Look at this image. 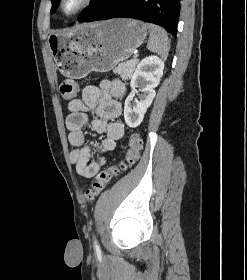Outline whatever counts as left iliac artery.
I'll return each instance as SVG.
<instances>
[{
  "instance_id": "44dca946",
  "label": "left iliac artery",
  "mask_w": 247,
  "mask_h": 280,
  "mask_svg": "<svg viewBox=\"0 0 247 280\" xmlns=\"http://www.w3.org/2000/svg\"><path fill=\"white\" fill-rule=\"evenodd\" d=\"M94 247H95L96 251L100 252V247H99V244L96 239H94Z\"/></svg>"
}]
</instances>
